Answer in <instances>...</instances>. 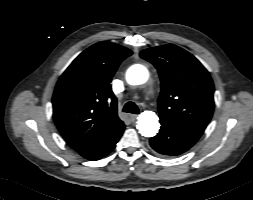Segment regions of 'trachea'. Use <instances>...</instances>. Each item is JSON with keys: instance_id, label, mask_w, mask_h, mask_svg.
<instances>
[{"instance_id": "1", "label": "trachea", "mask_w": 253, "mask_h": 200, "mask_svg": "<svg viewBox=\"0 0 253 200\" xmlns=\"http://www.w3.org/2000/svg\"><path fill=\"white\" fill-rule=\"evenodd\" d=\"M123 112L138 114L139 109H138L137 105L134 102H127L124 105Z\"/></svg>"}]
</instances>
